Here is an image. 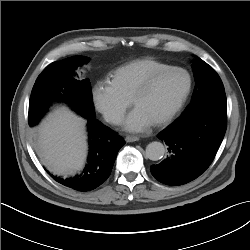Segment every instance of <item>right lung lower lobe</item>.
Wrapping results in <instances>:
<instances>
[{
  "mask_svg": "<svg viewBox=\"0 0 250 250\" xmlns=\"http://www.w3.org/2000/svg\"><path fill=\"white\" fill-rule=\"evenodd\" d=\"M85 118L88 120L90 150L83 172L74 177L62 178L47 171L58 183L80 192L97 188L109 177L117 153L125 144L122 137L95 117Z\"/></svg>",
  "mask_w": 250,
  "mask_h": 250,
  "instance_id": "1",
  "label": "right lung lower lobe"
}]
</instances>
